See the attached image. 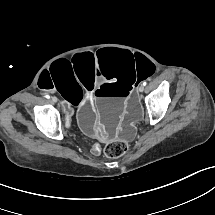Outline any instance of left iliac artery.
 Returning <instances> with one entry per match:
<instances>
[{
  "instance_id": "1",
  "label": "left iliac artery",
  "mask_w": 215,
  "mask_h": 215,
  "mask_svg": "<svg viewBox=\"0 0 215 215\" xmlns=\"http://www.w3.org/2000/svg\"><path fill=\"white\" fill-rule=\"evenodd\" d=\"M144 86H146V84H147V82L146 81H143V83H142Z\"/></svg>"
}]
</instances>
